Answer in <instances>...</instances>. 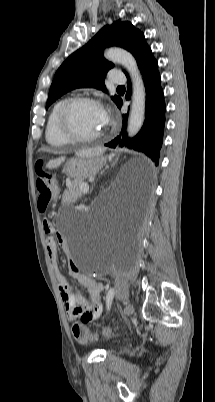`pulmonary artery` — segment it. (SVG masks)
I'll list each match as a JSON object with an SVG mask.
<instances>
[{"label":"pulmonary artery","mask_w":215,"mask_h":402,"mask_svg":"<svg viewBox=\"0 0 215 402\" xmlns=\"http://www.w3.org/2000/svg\"><path fill=\"white\" fill-rule=\"evenodd\" d=\"M109 81L113 84H124L126 82V78L122 72L112 71L109 74Z\"/></svg>","instance_id":"e3ab8cb5"}]
</instances>
